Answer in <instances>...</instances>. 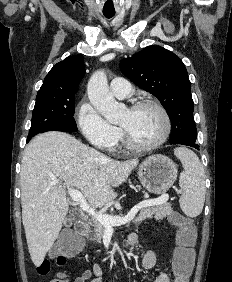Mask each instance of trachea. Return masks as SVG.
<instances>
[{"instance_id":"trachea-1","label":"trachea","mask_w":232,"mask_h":282,"mask_svg":"<svg viewBox=\"0 0 232 282\" xmlns=\"http://www.w3.org/2000/svg\"><path fill=\"white\" fill-rule=\"evenodd\" d=\"M115 15V13H104V16L106 18H112Z\"/></svg>"}]
</instances>
